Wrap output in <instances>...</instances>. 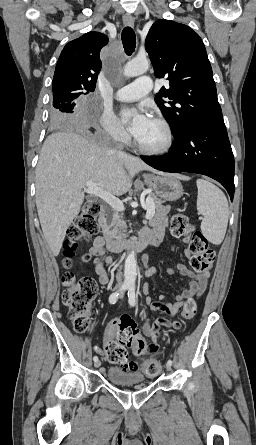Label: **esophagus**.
Wrapping results in <instances>:
<instances>
[{
    "instance_id": "obj_1",
    "label": "esophagus",
    "mask_w": 256,
    "mask_h": 445,
    "mask_svg": "<svg viewBox=\"0 0 256 445\" xmlns=\"http://www.w3.org/2000/svg\"><path fill=\"white\" fill-rule=\"evenodd\" d=\"M123 23L126 26L133 27L134 26V19L132 17H123Z\"/></svg>"
}]
</instances>
